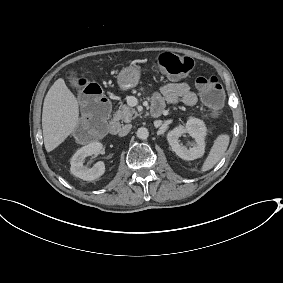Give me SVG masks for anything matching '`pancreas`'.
I'll return each instance as SVG.
<instances>
[{"label":"pancreas","instance_id":"obj_1","mask_svg":"<svg viewBox=\"0 0 283 283\" xmlns=\"http://www.w3.org/2000/svg\"><path fill=\"white\" fill-rule=\"evenodd\" d=\"M137 116L138 112L135 109L130 108L127 105H121L119 109L113 114V120H122L125 123H129L133 118Z\"/></svg>","mask_w":283,"mask_h":283}]
</instances>
